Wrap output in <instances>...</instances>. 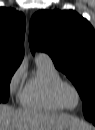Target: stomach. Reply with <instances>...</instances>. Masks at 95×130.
<instances>
[{
    "instance_id": "1",
    "label": "stomach",
    "mask_w": 95,
    "mask_h": 130,
    "mask_svg": "<svg viewBox=\"0 0 95 130\" xmlns=\"http://www.w3.org/2000/svg\"><path fill=\"white\" fill-rule=\"evenodd\" d=\"M65 130H83V128L71 125V126H68L67 128H65Z\"/></svg>"
}]
</instances>
